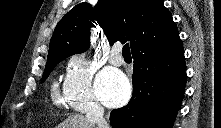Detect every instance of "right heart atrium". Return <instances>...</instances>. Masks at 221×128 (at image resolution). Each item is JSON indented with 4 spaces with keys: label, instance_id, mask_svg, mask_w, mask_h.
Wrapping results in <instances>:
<instances>
[{
    "label": "right heart atrium",
    "instance_id": "obj_1",
    "mask_svg": "<svg viewBox=\"0 0 221 128\" xmlns=\"http://www.w3.org/2000/svg\"><path fill=\"white\" fill-rule=\"evenodd\" d=\"M94 70L90 62L81 54L72 56L63 80V91L68 105L76 112H84L87 107L100 108L93 91Z\"/></svg>",
    "mask_w": 221,
    "mask_h": 128
}]
</instances>
